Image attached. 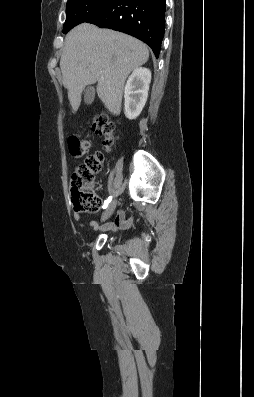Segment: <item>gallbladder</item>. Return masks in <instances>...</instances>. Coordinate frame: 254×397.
<instances>
[{
  "label": "gallbladder",
  "instance_id": "gallbladder-1",
  "mask_svg": "<svg viewBox=\"0 0 254 397\" xmlns=\"http://www.w3.org/2000/svg\"><path fill=\"white\" fill-rule=\"evenodd\" d=\"M95 97V88L93 86H88L84 92V101L86 104H91Z\"/></svg>",
  "mask_w": 254,
  "mask_h": 397
}]
</instances>
